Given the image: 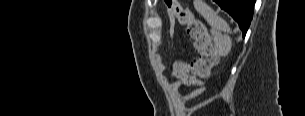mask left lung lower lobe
<instances>
[{
  "instance_id": "obj_1",
  "label": "left lung lower lobe",
  "mask_w": 305,
  "mask_h": 116,
  "mask_svg": "<svg viewBox=\"0 0 305 116\" xmlns=\"http://www.w3.org/2000/svg\"><path fill=\"white\" fill-rule=\"evenodd\" d=\"M223 10L228 12L239 24L245 37L252 20L255 0H214Z\"/></svg>"
}]
</instances>
